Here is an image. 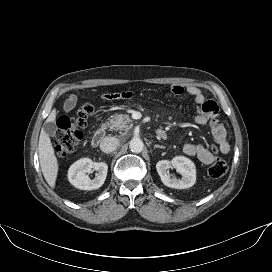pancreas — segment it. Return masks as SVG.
<instances>
[{
  "label": "pancreas",
  "mask_w": 272,
  "mask_h": 272,
  "mask_svg": "<svg viewBox=\"0 0 272 272\" xmlns=\"http://www.w3.org/2000/svg\"><path fill=\"white\" fill-rule=\"evenodd\" d=\"M132 126V120L128 115L115 114L110 119L109 127L115 131H128Z\"/></svg>",
  "instance_id": "cf45deb5"
}]
</instances>
